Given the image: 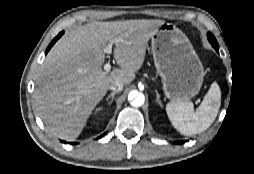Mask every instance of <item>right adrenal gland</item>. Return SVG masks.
Listing matches in <instances>:
<instances>
[{
	"label": "right adrenal gland",
	"mask_w": 254,
	"mask_h": 174,
	"mask_svg": "<svg viewBox=\"0 0 254 174\" xmlns=\"http://www.w3.org/2000/svg\"><path fill=\"white\" fill-rule=\"evenodd\" d=\"M118 92H112L110 95H108L106 97V101H108L109 99H111V101L109 102V104H112L113 100H114V96L115 94H117Z\"/></svg>",
	"instance_id": "obj_1"
}]
</instances>
